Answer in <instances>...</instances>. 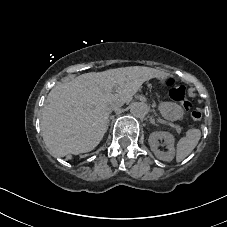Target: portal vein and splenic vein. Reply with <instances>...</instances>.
Segmentation results:
<instances>
[{
    "mask_svg": "<svg viewBox=\"0 0 227 227\" xmlns=\"http://www.w3.org/2000/svg\"><path fill=\"white\" fill-rule=\"evenodd\" d=\"M162 125H165V126H168V127H170L171 129H173L175 132H177V133H180L182 130L175 124H171L170 122H168V121H165V120H162L161 122H160ZM177 126V127H176Z\"/></svg>",
    "mask_w": 227,
    "mask_h": 227,
    "instance_id": "portal-vein-and-splenic-vein-1",
    "label": "portal vein and splenic vein"
}]
</instances>
